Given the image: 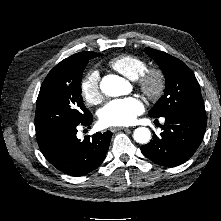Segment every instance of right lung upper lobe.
Wrapping results in <instances>:
<instances>
[{"instance_id":"obj_1","label":"right lung upper lobe","mask_w":221,"mask_h":221,"mask_svg":"<svg viewBox=\"0 0 221 221\" xmlns=\"http://www.w3.org/2000/svg\"><path fill=\"white\" fill-rule=\"evenodd\" d=\"M94 54L95 52H91V51L80 52L64 59L60 63L61 64H77L83 60L92 58Z\"/></svg>"}]
</instances>
